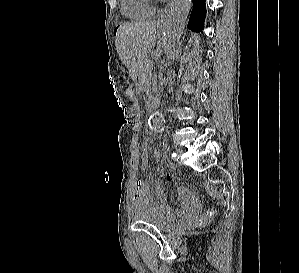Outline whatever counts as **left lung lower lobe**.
Here are the masks:
<instances>
[{
  "mask_svg": "<svg viewBox=\"0 0 299 273\" xmlns=\"http://www.w3.org/2000/svg\"><path fill=\"white\" fill-rule=\"evenodd\" d=\"M205 14V0H194L188 28L192 31L200 32L203 28Z\"/></svg>",
  "mask_w": 299,
  "mask_h": 273,
  "instance_id": "1",
  "label": "left lung lower lobe"
}]
</instances>
